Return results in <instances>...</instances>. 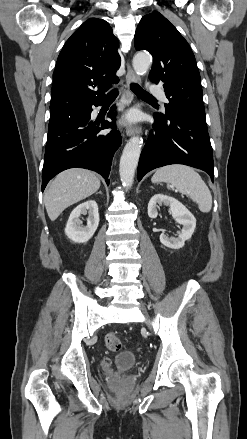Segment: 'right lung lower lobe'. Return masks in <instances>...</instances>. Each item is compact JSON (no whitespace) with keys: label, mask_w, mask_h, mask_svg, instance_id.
<instances>
[{"label":"right lung lower lobe","mask_w":247,"mask_h":439,"mask_svg":"<svg viewBox=\"0 0 247 439\" xmlns=\"http://www.w3.org/2000/svg\"><path fill=\"white\" fill-rule=\"evenodd\" d=\"M103 100L78 106L68 116L49 124L42 191L55 175L73 167L96 171L109 185L111 162L121 144V135L115 126V107L107 115L112 122L91 120V106L101 105ZM108 128L112 130L101 134Z\"/></svg>","instance_id":"right-lung-lower-lobe-1"}]
</instances>
